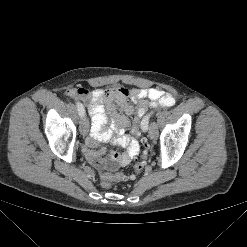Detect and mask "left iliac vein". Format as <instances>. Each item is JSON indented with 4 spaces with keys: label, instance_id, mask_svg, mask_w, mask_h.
<instances>
[{
    "label": "left iliac vein",
    "instance_id": "4c4485c4",
    "mask_svg": "<svg viewBox=\"0 0 247 247\" xmlns=\"http://www.w3.org/2000/svg\"><path fill=\"white\" fill-rule=\"evenodd\" d=\"M142 130L143 131H147L148 130V127H145V126H142ZM149 137L152 139V140H155L156 137H157V126L155 123H153L150 127V130H149Z\"/></svg>",
    "mask_w": 247,
    "mask_h": 247
}]
</instances>
